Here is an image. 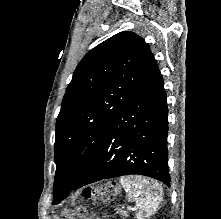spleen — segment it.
Instances as JSON below:
<instances>
[{"label": "spleen", "instance_id": "1", "mask_svg": "<svg viewBox=\"0 0 221 219\" xmlns=\"http://www.w3.org/2000/svg\"><path fill=\"white\" fill-rule=\"evenodd\" d=\"M120 184L126 191L128 201H135L137 219H146L155 214L162 201V187L154 181L140 176H123Z\"/></svg>", "mask_w": 221, "mask_h": 219}]
</instances>
